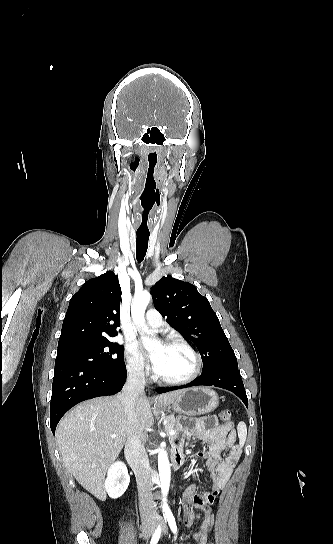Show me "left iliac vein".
<instances>
[{"mask_svg": "<svg viewBox=\"0 0 333 544\" xmlns=\"http://www.w3.org/2000/svg\"><path fill=\"white\" fill-rule=\"evenodd\" d=\"M163 532L167 533V526H166L165 522H163Z\"/></svg>", "mask_w": 333, "mask_h": 544, "instance_id": "obj_1", "label": "left iliac vein"}]
</instances>
